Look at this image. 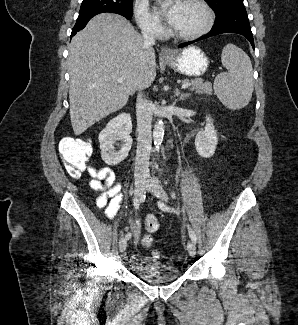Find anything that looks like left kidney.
<instances>
[{"label": "left kidney", "instance_id": "1", "mask_svg": "<svg viewBox=\"0 0 298 325\" xmlns=\"http://www.w3.org/2000/svg\"><path fill=\"white\" fill-rule=\"evenodd\" d=\"M205 120V130H200V132H197L195 146L200 156L210 158V156H213L216 150L218 142L217 130L213 124V118H211L210 114H206Z\"/></svg>", "mask_w": 298, "mask_h": 325}]
</instances>
